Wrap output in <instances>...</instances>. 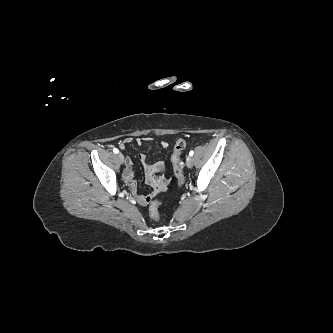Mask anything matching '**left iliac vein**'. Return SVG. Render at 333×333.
<instances>
[{
  "label": "left iliac vein",
  "mask_w": 333,
  "mask_h": 333,
  "mask_svg": "<svg viewBox=\"0 0 333 333\" xmlns=\"http://www.w3.org/2000/svg\"><path fill=\"white\" fill-rule=\"evenodd\" d=\"M186 165L188 168H192L193 167V158L191 156H188L186 159Z\"/></svg>",
  "instance_id": "obj_1"
}]
</instances>
